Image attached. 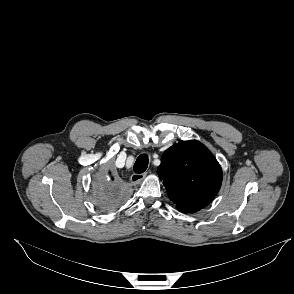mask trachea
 Returning a JSON list of instances; mask_svg holds the SVG:
<instances>
[{"instance_id": "trachea-1", "label": "trachea", "mask_w": 294, "mask_h": 294, "mask_svg": "<svg viewBox=\"0 0 294 294\" xmlns=\"http://www.w3.org/2000/svg\"><path fill=\"white\" fill-rule=\"evenodd\" d=\"M148 163V156L146 154H141L134 164L135 173H143L147 169Z\"/></svg>"}]
</instances>
